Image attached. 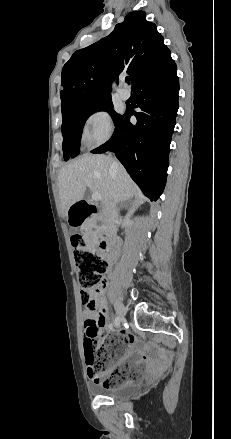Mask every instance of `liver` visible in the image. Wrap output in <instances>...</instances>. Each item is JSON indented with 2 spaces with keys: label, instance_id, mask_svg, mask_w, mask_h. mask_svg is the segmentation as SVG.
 I'll use <instances>...</instances> for the list:
<instances>
[{
  "label": "liver",
  "instance_id": "liver-1",
  "mask_svg": "<svg viewBox=\"0 0 231 439\" xmlns=\"http://www.w3.org/2000/svg\"><path fill=\"white\" fill-rule=\"evenodd\" d=\"M114 160L107 155L86 154L65 165L58 175L61 207L65 215L69 208L82 200L86 187L101 195L104 205L108 201L115 204L139 195L136 184L125 168H111Z\"/></svg>",
  "mask_w": 231,
  "mask_h": 439
}]
</instances>
